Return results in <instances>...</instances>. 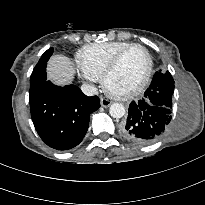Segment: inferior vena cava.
<instances>
[{"mask_svg": "<svg viewBox=\"0 0 205 205\" xmlns=\"http://www.w3.org/2000/svg\"><path fill=\"white\" fill-rule=\"evenodd\" d=\"M81 90L87 96H94L98 94L97 88L92 85L84 84L81 86Z\"/></svg>", "mask_w": 205, "mask_h": 205, "instance_id": "inferior-vena-cava-1", "label": "inferior vena cava"}]
</instances>
